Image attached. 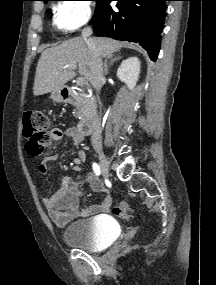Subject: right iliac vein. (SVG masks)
<instances>
[{
	"mask_svg": "<svg viewBox=\"0 0 216 285\" xmlns=\"http://www.w3.org/2000/svg\"><path fill=\"white\" fill-rule=\"evenodd\" d=\"M97 154H98V159H99V164L101 167L102 174L106 178H109L110 173H109V165H108L107 158L100 149H97Z\"/></svg>",
	"mask_w": 216,
	"mask_h": 285,
	"instance_id": "obj_1",
	"label": "right iliac vein"
}]
</instances>
